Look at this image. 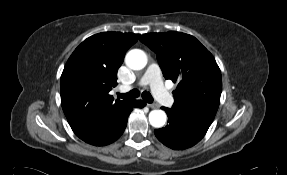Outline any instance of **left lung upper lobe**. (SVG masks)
<instances>
[{
    "label": "left lung upper lobe",
    "instance_id": "left-lung-upper-lobe-1",
    "mask_svg": "<svg viewBox=\"0 0 287 175\" xmlns=\"http://www.w3.org/2000/svg\"><path fill=\"white\" fill-rule=\"evenodd\" d=\"M140 41L156 53L164 77L179 81L169 111L205 135L222 91L221 72L212 54L195 37L176 31L144 34Z\"/></svg>",
    "mask_w": 287,
    "mask_h": 175
}]
</instances>
